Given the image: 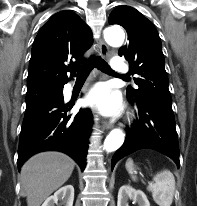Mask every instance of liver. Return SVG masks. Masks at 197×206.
<instances>
[{
	"label": "liver",
	"instance_id": "6515ba94",
	"mask_svg": "<svg viewBox=\"0 0 197 206\" xmlns=\"http://www.w3.org/2000/svg\"><path fill=\"white\" fill-rule=\"evenodd\" d=\"M74 161L59 152H43L31 157L21 168V188L28 206H40L71 176Z\"/></svg>",
	"mask_w": 197,
	"mask_h": 206
}]
</instances>
